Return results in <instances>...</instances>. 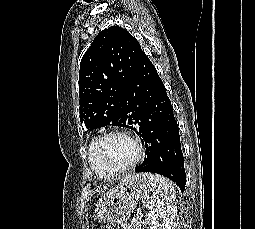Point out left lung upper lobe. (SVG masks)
<instances>
[{
  "label": "left lung upper lobe",
  "instance_id": "1",
  "mask_svg": "<svg viewBox=\"0 0 255 229\" xmlns=\"http://www.w3.org/2000/svg\"><path fill=\"white\" fill-rule=\"evenodd\" d=\"M127 30L112 26L94 38L80 63V121L87 129L126 127L124 92L141 54Z\"/></svg>",
  "mask_w": 255,
  "mask_h": 229
}]
</instances>
